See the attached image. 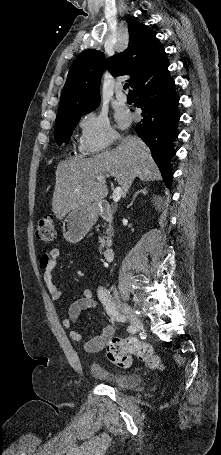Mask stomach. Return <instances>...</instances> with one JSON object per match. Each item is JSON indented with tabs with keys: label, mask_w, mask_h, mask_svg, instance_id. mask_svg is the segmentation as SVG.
Returning <instances> with one entry per match:
<instances>
[{
	"label": "stomach",
	"mask_w": 221,
	"mask_h": 455,
	"mask_svg": "<svg viewBox=\"0 0 221 455\" xmlns=\"http://www.w3.org/2000/svg\"><path fill=\"white\" fill-rule=\"evenodd\" d=\"M98 219L97 204H86L71 210L62 222L64 238L72 244L80 242Z\"/></svg>",
	"instance_id": "0dacf381"
}]
</instances>
